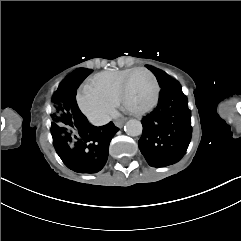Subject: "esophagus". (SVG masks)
<instances>
[{
  "label": "esophagus",
  "instance_id": "1",
  "mask_svg": "<svg viewBox=\"0 0 241 241\" xmlns=\"http://www.w3.org/2000/svg\"><path fill=\"white\" fill-rule=\"evenodd\" d=\"M125 121H126V118L120 119V120H116V121H115V125H116L117 127H119V128H122L123 125H124V123H125Z\"/></svg>",
  "mask_w": 241,
  "mask_h": 241
}]
</instances>
